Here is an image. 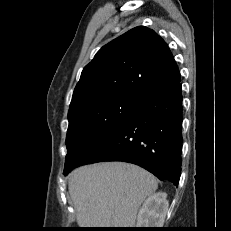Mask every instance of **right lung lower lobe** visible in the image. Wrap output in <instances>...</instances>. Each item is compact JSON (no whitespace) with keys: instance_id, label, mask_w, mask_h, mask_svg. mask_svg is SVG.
Wrapping results in <instances>:
<instances>
[{"instance_id":"98d812e1","label":"right lung lower lobe","mask_w":231,"mask_h":231,"mask_svg":"<svg viewBox=\"0 0 231 231\" xmlns=\"http://www.w3.org/2000/svg\"><path fill=\"white\" fill-rule=\"evenodd\" d=\"M182 110L181 83L143 95L137 111L64 174L84 164L123 161L177 186L181 175Z\"/></svg>"}]
</instances>
